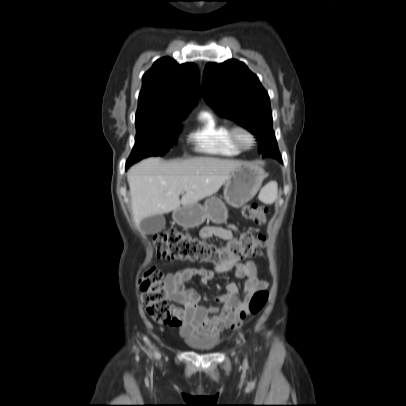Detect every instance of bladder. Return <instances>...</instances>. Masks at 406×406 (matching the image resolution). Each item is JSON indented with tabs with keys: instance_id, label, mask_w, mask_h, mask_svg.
<instances>
[{
	"instance_id": "31cf9c89",
	"label": "bladder",
	"mask_w": 406,
	"mask_h": 406,
	"mask_svg": "<svg viewBox=\"0 0 406 406\" xmlns=\"http://www.w3.org/2000/svg\"><path fill=\"white\" fill-rule=\"evenodd\" d=\"M187 346L196 352H208L217 346V342L211 338H201L198 336H188L185 338Z\"/></svg>"
}]
</instances>
